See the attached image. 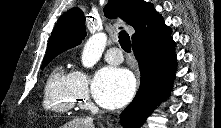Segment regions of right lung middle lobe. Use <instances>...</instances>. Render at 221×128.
<instances>
[{
	"instance_id": "dd1d6c3e",
	"label": "right lung middle lobe",
	"mask_w": 221,
	"mask_h": 128,
	"mask_svg": "<svg viewBox=\"0 0 221 128\" xmlns=\"http://www.w3.org/2000/svg\"><path fill=\"white\" fill-rule=\"evenodd\" d=\"M54 57L44 58L42 68H44Z\"/></svg>"
}]
</instances>
